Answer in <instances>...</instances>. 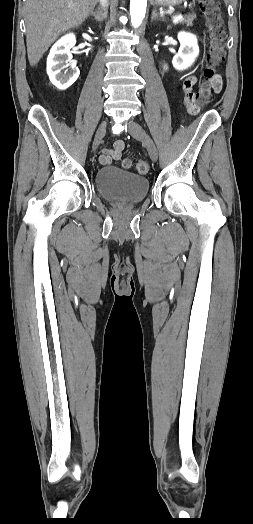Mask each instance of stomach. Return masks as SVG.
<instances>
[{"label":"stomach","mask_w":253,"mask_h":524,"mask_svg":"<svg viewBox=\"0 0 253 524\" xmlns=\"http://www.w3.org/2000/svg\"><path fill=\"white\" fill-rule=\"evenodd\" d=\"M183 1L184 0H155V4L160 6H175L181 4Z\"/></svg>","instance_id":"obj_1"}]
</instances>
